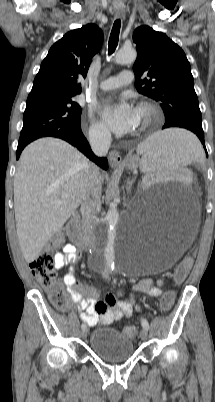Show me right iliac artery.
<instances>
[{
  "label": "right iliac artery",
  "instance_id": "obj_1",
  "mask_svg": "<svg viewBox=\"0 0 215 402\" xmlns=\"http://www.w3.org/2000/svg\"><path fill=\"white\" fill-rule=\"evenodd\" d=\"M81 328H82V330L86 329L87 328L86 324H82Z\"/></svg>",
  "mask_w": 215,
  "mask_h": 402
}]
</instances>
